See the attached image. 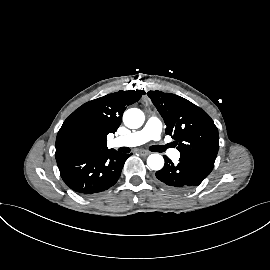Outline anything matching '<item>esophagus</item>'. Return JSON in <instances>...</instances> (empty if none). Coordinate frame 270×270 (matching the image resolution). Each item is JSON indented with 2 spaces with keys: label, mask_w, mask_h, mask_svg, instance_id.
I'll list each match as a JSON object with an SVG mask.
<instances>
[{
  "label": "esophagus",
  "mask_w": 270,
  "mask_h": 270,
  "mask_svg": "<svg viewBox=\"0 0 270 270\" xmlns=\"http://www.w3.org/2000/svg\"><path fill=\"white\" fill-rule=\"evenodd\" d=\"M138 152H139V154L142 155V156H147V155L150 154V152H148V151H146V150H139Z\"/></svg>",
  "instance_id": "34e87169"
}]
</instances>
